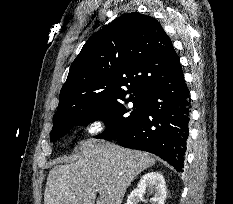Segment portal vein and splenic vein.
Here are the masks:
<instances>
[{
    "label": "portal vein and splenic vein",
    "instance_id": "portal-vein-and-splenic-vein-1",
    "mask_svg": "<svg viewBox=\"0 0 233 204\" xmlns=\"http://www.w3.org/2000/svg\"><path fill=\"white\" fill-rule=\"evenodd\" d=\"M101 190H102L101 188L98 189V191H101Z\"/></svg>",
    "mask_w": 233,
    "mask_h": 204
}]
</instances>
